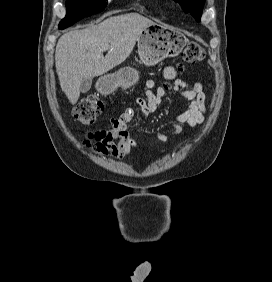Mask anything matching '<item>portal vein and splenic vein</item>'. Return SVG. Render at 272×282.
Listing matches in <instances>:
<instances>
[{"instance_id":"1","label":"portal vein and splenic vein","mask_w":272,"mask_h":282,"mask_svg":"<svg viewBox=\"0 0 272 282\" xmlns=\"http://www.w3.org/2000/svg\"><path fill=\"white\" fill-rule=\"evenodd\" d=\"M103 49H104V50H108V49H109V45H105V46L103 47Z\"/></svg>"}]
</instances>
